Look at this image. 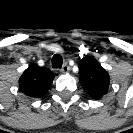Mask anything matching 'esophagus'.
Here are the masks:
<instances>
[{"instance_id": "esophagus-1", "label": "esophagus", "mask_w": 133, "mask_h": 133, "mask_svg": "<svg viewBox=\"0 0 133 133\" xmlns=\"http://www.w3.org/2000/svg\"><path fill=\"white\" fill-rule=\"evenodd\" d=\"M70 70V67L67 65V63L63 64L62 68L60 69V71L62 73H66Z\"/></svg>"}]
</instances>
